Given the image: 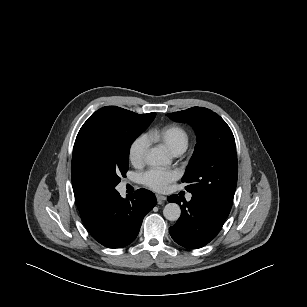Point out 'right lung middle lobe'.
Wrapping results in <instances>:
<instances>
[{"label":"right lung middle lobe","mask_w":307,"mask_h":307,"mask_svg":"<svg viewBox=\"0 0 307 307\" xmlns=\"http://www.w3.org/2000/svg\"><path fill=\"white\" fill-rule=\"evenodd\" d=\"M156 113L101 108L81 127L73 148L72 183L96 197H109L128 170L133 141Z\"/></svg>","instance_id":"1"}]
</instances>
